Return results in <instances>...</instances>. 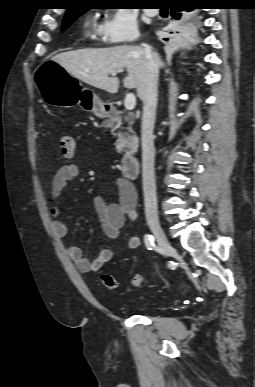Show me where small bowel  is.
<instances>
[{"label":"small bowel","mask_w":255,"mask_h":387,"mask_svg":"<svg viewBox=\"0 0 255 387\" xmlns=\"http://www.w3.org/2000/svg\"><path fill=\"white\" fill-rule=\"evenodd\" d=\"M79 167L74 163L61 166L53 175L51 180L50 194L53 200L60 197L68 182L74 180L79 175ZM119 197L117 203H109L101 196L93 198V206L98 215L101 230L106 237L112 240L120 239V231L125 220L135 222L138 218L136 209V191L134 187L124 181H118ZM52 225L54 233L59 237H65L70 229L69 223L62 217L57 206L51 208ZM140 246L138 236L129 237L124 249H137ZM65 251L74 262L76 268L82 273L97 272L106 263L110 262L116 251L110 248L102 249L94 260L83 255L80 247L74 244H66Z\"/></svg>","instance_id":"1"}]
</instances>
